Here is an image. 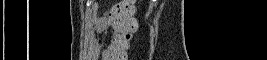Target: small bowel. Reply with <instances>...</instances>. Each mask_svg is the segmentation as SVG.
I'll return each instance as SVG.
<instances>
[{
  "mask_svg": "<svg viewBox=\"0 0 267 60\" xmlns=\"http://www.w3.org/2000/svg\"><path fill=\"white\" fill-rule=\"evenodd\" d=\"M109 23H110V20H107V19L100 20L95 26L94 34L100 33ZM101 46H102L101 42L93 43L94 51L96 53L99 52L101 49Z\"/></svg>",
  "mask_w": 267,
  "mask_h": 60,
  "instance_id": "c3829d8e",
  "label": "small bowel"
}]
</instances>
